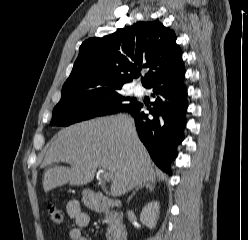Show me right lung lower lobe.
I'll return each instance as SVG.
<instances>
[{
  "label": "right lung lower lobe",
  "instance_id": "1",
  "mask_svg": "<svg viewBox=\"0 0 248 240\" xmlns=\"http://www.w3.org/2000/svg\"><path fill=\"white\" fill-rule=\"evenodd\" d=\"M184 76L183 68L147 87L155 98L149 114L144 113L143 104L139 102L122 111L134 118L139 138L155 164L166 173H170L171 163L177 157V146L184 139L188 107Z\"/></svg>",
  "mask_w": 248,
  "mask_h": 240
}]
</instances>
